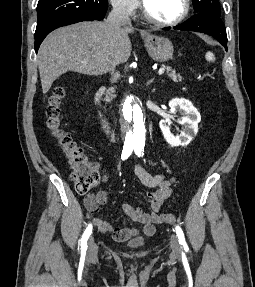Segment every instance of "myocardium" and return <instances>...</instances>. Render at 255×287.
<instances>
[{
	"mask_svg": "<svg viewBox=\"0 0 255 287\" xmlns=\"http://www.w3.org/2000/svg\"><path fill=\"white\" fill-rule=\"evenodd\" d=\"M142 33H150V32H142ZM169 33H175V32H169ZM130 39H137V38H130ZM145 39H150V38H145ZM165 39H174V38H165ZM130 48H136V47H130ZM150 48V47H146Z\"/></svg>",
	"mask_w": 255,
	"mask_h": 287,
	"instance_id": "f54148a6",
	"label": "myocardium"
}]
</instances>
